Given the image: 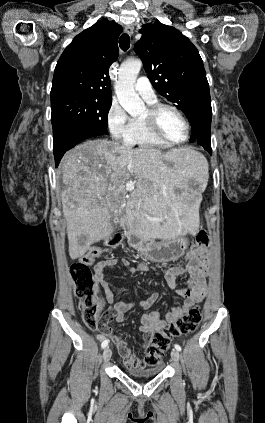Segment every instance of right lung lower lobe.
<instances>
[{"label": "right lung lower lobe", "mask_w": 265, "mask_h": 423, "mask_svg": "<svg viewBox=\"0 0 265 423\" xmlns=\"http://www.w3.org/2000/svg\"><path fill=\"white\" fill-rule=\"evenodd\" d=\"M103 135L101 132L93 130L83 125L67 123L59 126L53 130V151L56 166L58 165L63 154L74 147L76 144L81 141L94 137Z\"/></svg>", "instance_id": "right-lung-lower-lobe-1"}]
</instances>
